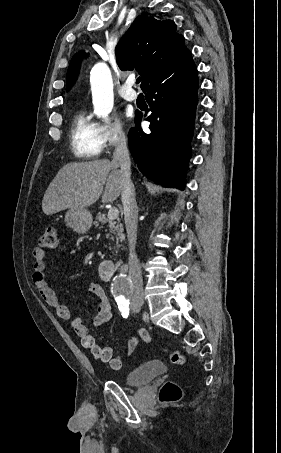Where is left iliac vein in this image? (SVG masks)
I'll return each instance as SVG.
<instances>
[{"instance_id":"1","label":"left iliac vein","mask_w":281,"mask_h":453,"mask_svg":"<svg viewBox=\"0 0 281 453\" xmlns=\"http://www.w3.org/2000/svg\"><path fill=\"white\" fill-rule=\"evenodd\" d=\"M132 313H141V310L137 307V305H132Z\"/></svg>"}]
</instances>
